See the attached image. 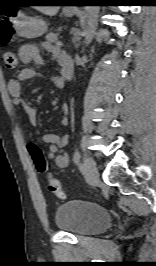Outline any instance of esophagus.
I'll return each instance as SVG.
<instances>
[{"instance_id":"esophagus-1","label":"esophagus","mask_w":156,"mask_h":266,"mask_svg":"<svg viewBox=\"0 0 156 266\" xmlns=\"http://www.w3.org/2000/svg\"><path fill=\"white\" fill-rule=\"evenodd\" d=\"M72 9H74V10H78V8H77V7H74V8H72Z\"/></svg>"}]
</instances>
